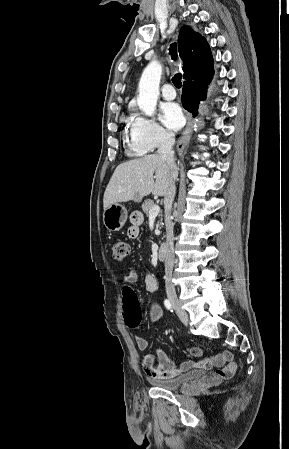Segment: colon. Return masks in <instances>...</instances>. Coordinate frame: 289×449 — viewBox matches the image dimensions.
Segmentation results:
<instances>
[{"label":"colon","mask_w":289,"mask_h":449,"mask_svg":"<svg viewBox=\"0 0 289 449\" xmlns=\"http://www.w3.org/2000/svg\"><path fill=\"white\" fill-rule=\"evenodd\" d=\"M130 253L129 245L121 240L115 239L112 243V254L115 260L122 261ZM123 309L125 310V320L129 327H136L140 321V302L133 289L124 291Z\"/></svg>","instance_id":"obj_1"}]
</instances>
